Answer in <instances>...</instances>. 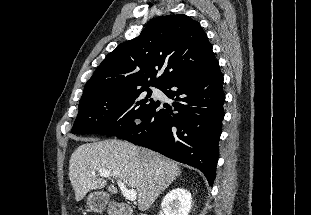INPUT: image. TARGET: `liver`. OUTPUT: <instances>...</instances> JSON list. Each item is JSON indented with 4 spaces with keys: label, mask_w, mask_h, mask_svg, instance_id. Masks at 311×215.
<instances>
[{
    "label": "liver",
    "mask_w": 311,
    "mask_h": 215,
    "mask_svg": "<svg viewBox=\"0 0 311 215\" xmlns=\"http://www.w3.org/2000/svg\"><path fill=\"white\" fill-rule=\"evenodd\" d=\"M85 141L69 161V179L77 202L91 190L107 186V180L98 177L99 170L105 169L110 177L137 192L138 209L145 211L182 172L176 162L126 141ZM107 190L117 193L114 185H109Z\"/></svg>",
    "instance_id": "liver-1"
}]
</instances>
